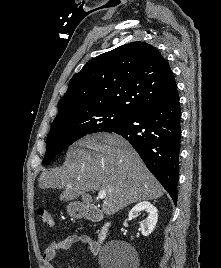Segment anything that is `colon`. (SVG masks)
<instances>
[{
	"label": "colon",
	"mask_w": 221,
	"mask_h": 268,
	"mask_svg": "<svg viewBox=\"0 0 221 268\" xmlns=\"http://www.w3.org/2000/svg\"><path fill=\"white\" fill-rule=\"evenodd\" d=\"M38 214L48 226H54L53 216L48 210L39 209Z\"/></svg>",
	"instance_id": "colon-1"
}]
</instances>
